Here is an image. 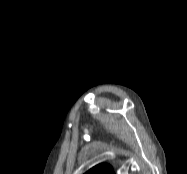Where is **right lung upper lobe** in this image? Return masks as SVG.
Listing matches in <instances>:
<instances>
[{
	"label": "right lung upper lobe",
	"mask_w": 187,
	"mask_h": 174,
	"mask_svg": "<svg viewBox=\"0 0 187 174\" xmlns=\"http://www.w3.org/2000/svg\"><path fill=\"white\" fill-rule=\"evenodd\" d=\"M85 174H113L112 167L108 164H100L90 169Z\"/></svg>",
	"instance_id": "right-lung-upper-lobe-1"
}]
</instances>
